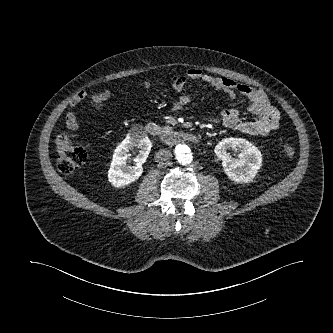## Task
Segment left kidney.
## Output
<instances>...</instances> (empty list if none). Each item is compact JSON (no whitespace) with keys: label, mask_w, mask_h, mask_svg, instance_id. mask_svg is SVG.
I'll use <instances>...</instances> for the list:
<instances>
[{"label":"left kidney","mask_w":333,"mask_h":333,"mask_svg":"<svg viewBox=\"0 0 333 333\" xmlns=\"http://www.w3.org/2000/svg\"><path fill=\"white\" fill-rule=\"evenodd\" d=\"M239 150V159H234L228 152ZM215 154L222 160L225 174L236 183L251 181L262 165L259 149L243 138H225L215 147Z\"/></svg>","instance_id":"obj_1"}]
</instances>
